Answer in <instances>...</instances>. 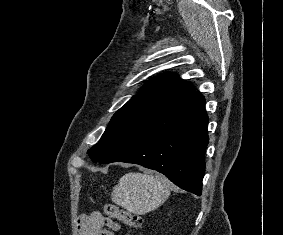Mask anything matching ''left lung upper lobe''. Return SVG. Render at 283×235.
I'll use <instances>...</instances> for the list:
<instances>
[{
	"label": "left lung upper lobe",
	"mask_w": 283,
	"mask_h": 235,
	"mask_svg": "<svg viewBox=\"0 0 283 235\" xmlns=\"http://www.w3.org/2000/svg\"><path fill=\"white\" fill-rule=\"evenodd\" d=\"M194 92L192 85L175 74L152 80L114 114L101 139L89 150L92 161L103 163L143 126Z\"/></svg>",
	"instance_id": "5c2ea615"
}]
</instances>
